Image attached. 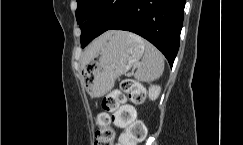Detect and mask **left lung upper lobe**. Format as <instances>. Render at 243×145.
Here are the masks:
<instances>
[{
	"label": "left lung upper lobe",
	"mask_w": 243,
	"mask_h": 145,
	"mask_svg": "<svg viewBox=\"0 0 243 145\" xmlns=\"http://www.w3.org/2000/svg\"><path fill=\"white\" fill-rule=\"evenodd\" d=\"M124 0H77L76 10L77 23L81 24V45L88 36L89 29L86 26L87 20L94 14L97 20L113 17L120 9Z\"/></svg>",
	"instance_id": "1"
}]
</instances>
